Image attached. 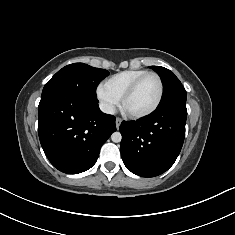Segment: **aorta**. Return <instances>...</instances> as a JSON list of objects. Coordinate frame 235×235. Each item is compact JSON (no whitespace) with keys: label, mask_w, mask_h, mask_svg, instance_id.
<instances>
[{"label":"aorta","mask_w":235,"mask_h":235,"mask_svg":"<svg viewBox=\"0 0 235 235\" xmlns=\"http://www.w3.org/2000/svg\"><path fill=\"white\" fill-rule=\"evenodd\" d=\"M122 139V135L120 132H114L112 135H111V140L115 143H118L120 142Z\"/></svg>","instance_id":"obj_1"}]
</instances>
